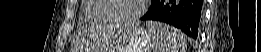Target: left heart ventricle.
<instances>
[{
  "label": "left heart ventricle",
  "instance_id": "b2bd125f",
  "mask_svg": "<svg viewBox=\"0 0 261 52\" xmlns=\"http://www.w3.org/2000/svg\"><path fill=\"white\" fill-rule=\"evenodd\" d=\"M113 16L119 18H128L137 12L140 7V0H117L113 2Z\"/></svg>",
  "mask_w": 261,
  "mask_h": 52
}]
</instances>
